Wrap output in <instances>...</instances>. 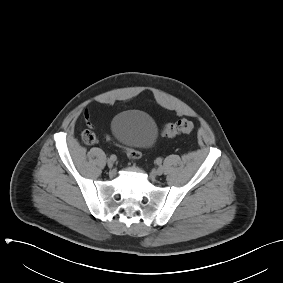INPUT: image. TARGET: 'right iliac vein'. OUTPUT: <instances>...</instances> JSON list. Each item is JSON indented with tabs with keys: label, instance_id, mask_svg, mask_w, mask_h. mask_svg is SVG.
Wrapping results in <instances>:
<instances>
[{
	"label": "right iliac vein",
	"instance_id": "right-iliac-vein-1",
	"mask_svg": "<svg viewBox=\"0 0 283 283\" xmlns=\"http://www.w3.org/2000/svg\"><path fill=\"white\" fill-rule=\"evenodd\" d=\"M113 164H114V162H113L112 160L108 159V161H107L108 167H109V168H112V167H113Z\"/></svg>",
	"mask_w": 283,
	"mask_h": 283
}]
</instances>
